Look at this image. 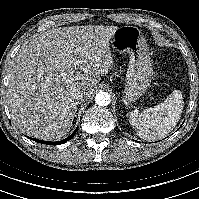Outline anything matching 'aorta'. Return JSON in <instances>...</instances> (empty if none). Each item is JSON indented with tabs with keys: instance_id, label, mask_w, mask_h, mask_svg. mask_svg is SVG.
<instances>
[{
	"instance_id": "1",
	"label": "aorta",
	"mask_w": 199,
	"mask_h": 199,
	"mask_svg": "<svg viewBox=\"0 0 199 199\" xmlns=\"http://www.w3.org/2000/svg\"><path fill=\"white\" fill-rule=\"evenodd\" d=\"M95 102L99 106H108L111 102L110 95L107 92L99 91L95 96Z\"/></svg>"
}]
</instances>
